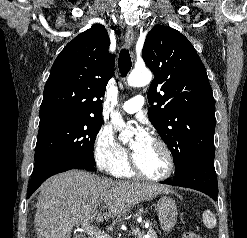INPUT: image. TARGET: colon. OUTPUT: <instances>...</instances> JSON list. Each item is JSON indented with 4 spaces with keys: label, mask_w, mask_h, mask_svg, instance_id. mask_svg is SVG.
Returning <instances> with one entry per match:
<instances>
[{
    "label": "colon",
    "mask_w": 247,
    "mask_h": 238,
    "mask_svg": "<svg viewBox=\"0 0 247 238\" xmlns=\"http://www.w3.org/2000/svg\"><path fill=\"white\" fill-rule=\"evenodd\" d=\"M182 238H202V237L195 232L187 231L182 234Z\"/></svg>",
    "instance_id": "5ec220e1"
}]
</instances>
